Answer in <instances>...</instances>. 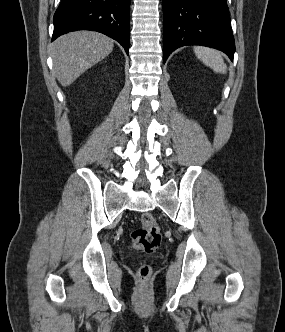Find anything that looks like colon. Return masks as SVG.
<instances>
[{"label":"colon","instance_id":"obj_1","mask_svg":"<svg viewBox=\"0 0 285 332\" xmlns=\"http://www.w3.org/2000/svg\"><path fill=\"white\" fill-rule=\"evenodd\" d=\"M161 232L154 217L145 213L141 217V226L131 232V240L133 246L145 253L152 254L158 251L161 244ZM151 273V268L147 264H143L138 269V277L145 281Z\"/></svg>","mask_w":285,"mask_h":332}]
</instances>
